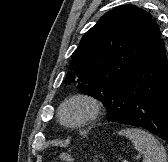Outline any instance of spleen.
Masks as SVG:
<instances>
[{
	"label": "spleen",
	"mask_w": 168,
	"mask_h": 162,
	"mask_svg": "<svg viewBox=\"0 0 168 162\" xmlns=\"http://www.w3.org/2000/svg\"><path fill=\"white\" fill-rule=\"evenodd\" d=\"M127 137L134 148L143 156V162H166L165 148L150 133L139 128H128L118 132Z\"/></svg>",
	"instance_id": "3e777b00"
}]
</instances>
